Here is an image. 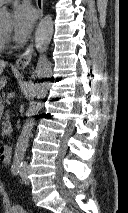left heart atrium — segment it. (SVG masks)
Returning <instances> with one entry per match:
<instances>
[{"mask_svg":"<svg viewBox=\"0 0 128 213\" xmlns=\"http://www.w3.org/2000/svg\"><path fill=\"white\" fill-rule=\"evenodd\" d=\"M35 19V12L29 5L19 4L14 7L12 35L16 42L22 43L28 38Z\"/></svg>","mask_w":128,"mask_h":213,"instance_id":"39dd6f15","label":"left heart atrium"}]
</instances>
